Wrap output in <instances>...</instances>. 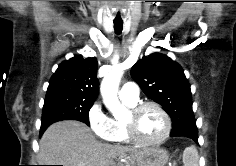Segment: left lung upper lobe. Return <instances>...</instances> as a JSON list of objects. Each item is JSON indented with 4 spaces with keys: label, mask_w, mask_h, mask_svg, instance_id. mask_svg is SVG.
<instances>
[{
    "label": "left lung upper lobe",
    "mask_w": 236,
    "mask_h": 166,
    "mask_svg": "<svg viewBox=\"0 0 236 166\" xmlns=\"http://www.w3.org/2000/svg\"><path fill=\"white\" fill-rule=\"evenodd\" d=\"M134 80L176 123L195 122L191 89L181 66L161 53L144 56L131 70Z\"/></svg>",
    "instance_id": "left-lung-upper-lobe-1"
}]
</instances>
